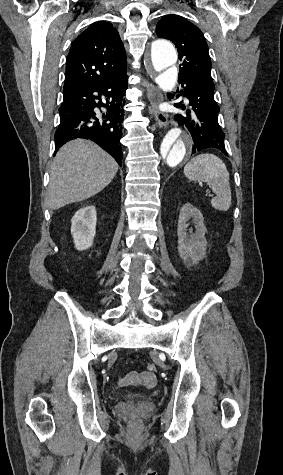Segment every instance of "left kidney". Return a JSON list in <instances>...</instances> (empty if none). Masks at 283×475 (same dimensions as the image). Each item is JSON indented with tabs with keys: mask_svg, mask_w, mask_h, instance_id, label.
<instances>
[{
	"mask_svg": "<svg viewBox=\"0 0 283 475\" xmlns=\"http://www.w3.org/2000/svg\"><path fill=\"white\" fill-rule=\"evenodd\" d=\"M188 220H192L195 224V234H192V230L188 232V224H186ZM206 232L204 218L200 210L193 208L192 204H184L179 214L177 236L179 255L186 263L193 265V263H199V259L205 257L207 249Z\"/></svg>",
	"mask_w": 283,
	"mask_h": 475,
	"instance_id": "obj_1",
	"label": "left kidney"
}]
</instances>
